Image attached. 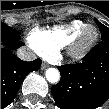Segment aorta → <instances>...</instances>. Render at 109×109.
Instances as JSON below:
<instances>
[{"mask_svg":"<svg viewBox=\"0 0 109 109\" xmlns=\"http://www.w3.org/2000/svg\"><path fill=\"white\" fill-rule=\"evenodd\" d=\"M46 78L50 83H57L60 79V73L56 68L46 70Z\"/></svg>","mask_w":109,"mask_h":109,"instance_id":"762f6f07","label":"aorta"}]
</instances>
